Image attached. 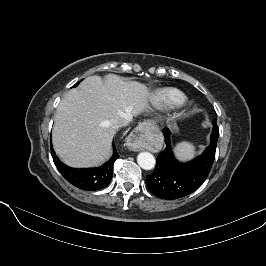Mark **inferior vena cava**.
I'll return each instance as SVG.
<instances>
[{
    "instance_id": "inferior-vena-cava-1",
    "label": "inferior vena cava",
    "mask_w": 266,
    "mask_h": 266,
    "mask_svg": "<svg viewBox=\"0 0 266 266\" xmlns=\"http://www.w3.org/2000/svg\"><path fill=\"white\" fill-rule=\"evenodd\" d=\"M132 120V116L127 114H122L120 116H116L114 119H112V126L116 130L120 127L127 126L128 123Z\"/></svg>"
}]
</instances>
